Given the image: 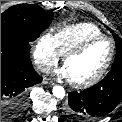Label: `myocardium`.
Instances as JSON below:
<instances>
[{
  "label": "myocardium",
  "instance_id": "f54148a6",
  "mask_svg": "<svg viewBox=\"0 0 122 122\" xmlns=\"http://www.w3.org/2000/svg\"><path fill=\"white\" fill-rule=\"evenodd\" d=\"M106 40L110 43V54L108 59L106 60L105 64L102 66V68L91 78L84 80V81H73L70 80L71 84L76 87V88H87L90 86L95 85L96 83H98L106 74V72L108 71L109 67L112 64L114 55H115V42L113 41L112 38L108 37V36H98V37H93V38H89L83 42H81L80 44L76 45L75 47L71 48L70 50H68L67 52H65L62 56V62L63 64H65V62L76 55H79L80 53H82L85 49H87L90 45L99 42V41H103Z\"/></svg>",
  "mask_w": 122,
  "mask_h": 122
}]
</instances>
